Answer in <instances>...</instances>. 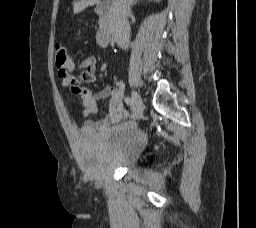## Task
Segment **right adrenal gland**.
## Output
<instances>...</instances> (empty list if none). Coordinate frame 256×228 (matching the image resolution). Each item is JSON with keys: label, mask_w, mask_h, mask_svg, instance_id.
Wrapping results in <instances>:
<instances>
[{"label": "right adrenal gland", "mask_w": 256, "mask_h": 228, "mask_svg": "<svg viewBox=\"0 0 256 228\" xmlns=\"http://www.w3.org/2000/svg\"><path fill=\"white\" fill-rule=\"evenodd\" d=\"M138 2H139V0H134V2H133L132 5H133V6L136 5Z\"/></svg>", "instance_id": "2a0ac1e0"}]
</instances>
